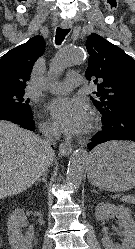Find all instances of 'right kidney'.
I'll return each instance as SVG.
<instances>
[{
	"label": "right kidney",
	"mask_w": 135,
	"mask_h": 249,
	"mask_svg": "<svg viewBox=\"0 0 135 249\" xmlns=\"http://www.w3.org/2000/svg\"><path fill=\"white\" fill-rule=\"evenodd\" d=\"M8 238L12 249H31L33 230L22 233V228L27 226V217L23 209L15 210L8 218Z\"/></svg>",
	"instance_id": "right-kidney-1"
}]
</instances>
